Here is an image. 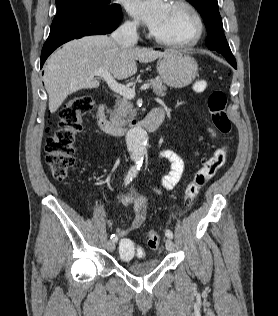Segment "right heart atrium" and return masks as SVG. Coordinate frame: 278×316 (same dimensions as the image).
I'll list each match as a JSON object with an SVG mask.
<instances>
[{
    "instance_id": "d8ad5b80",
    "label": "right heart atrium",
    "mask_w": 278,
    "mask_h": 316,
    "mask_svg": "<svg viewBox=\"0 0 278 316\" xmlns=\"http://www.w3.org/2000/svg\"><path fill=\"white\" fill-rule=\"evenodd\" d=\"M125 27L129 31L135 32L138 29V22L135 20H129L125 23Z\"/></svg>"
}]
</instances>
